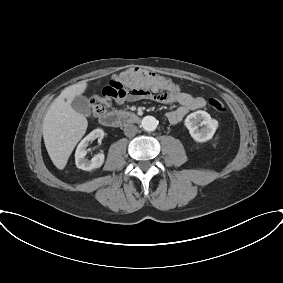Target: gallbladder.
<instances>
[{
	"mask_svg": "<svg viewBox=\"0 0 283 283\" xmlns=\"http://www.w3.org/2000/svg\"><path fill=\"white\" fill-rule=\"evenodd\" d=\"M71 107L77 113H80L82 115L88 116L91 114L90 103H89V100L85 96H82V95L76 96L71 103Z\"/></svg>",
	"mask_w": 283,
	"mask_h": 283,
	"instance_id": "obj_1",
	"label": "gallbladder"
}]
</instances>
